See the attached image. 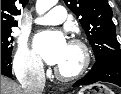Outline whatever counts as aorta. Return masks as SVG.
<instances>
[{"label": "aorta", "instance_id": "aorta-1", "mask_svg": "<svg viewBox=\"0 0 121 94\" xmlns=\"http://www.w3.org/2000/svg\"><path fill=\"white\" fill-rule=\"evenodd\" d=\"M57 0H37L36 2V12L39 15L44 14L54 5H56Z\"/></svg>", "mask_w": 121, "mask_h": 94}]
</instances>
